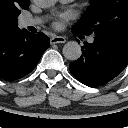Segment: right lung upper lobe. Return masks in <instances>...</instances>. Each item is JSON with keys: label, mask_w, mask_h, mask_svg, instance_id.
Returning <instances> with one entry per match:
<instances>
[{"label": "right lung upper lobe", "mask_w": 128, "mask_h": 128, "mask_svg": "<svg viewBox=\"0 0 128 128\" xmlns=\"http://www.w3.org/2000/svg\"><path fill=\"white\" fill-rule=\"evenodd\" d=\"M27 6L29 0H0V36L10 35L19 29L13 11Z\"/></svg>", "instance_id": "right-lung-upper-lobe-1"}]
</instances>
